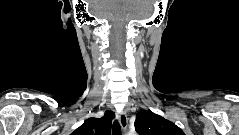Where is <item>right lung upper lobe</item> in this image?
Masks as SVG:
<instances>
[{"label":"right lung upper lobe","mask_w":239,"mask_h":135,"mask_svg":"<svg viewBox=\"0 0 239 135\" xmlns=\"http://www.w3.org/2000/svg\"><path fill=\"white\" fill-rule=\"evenodd\" d=\"M114 112L107 110L101 118H88L71 135H110Z\"/></svg>","instance_id":"1"}]
</instances>
